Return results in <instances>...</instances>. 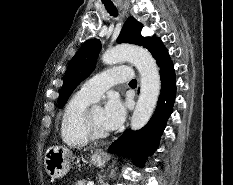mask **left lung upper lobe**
<instances>
[{
  "label": "left lung upper lobe",
  "mask_w": 233,
  "mask_h": 185,
  "mask_svg": "<svg viewBox=\"0 0 233 185\" xmlns=\"http://www.w3.org/2000/svg\"><path fill=\"white\" fill-rule=\"evenodd\" d=\"M142 27L143 25L141 23L133 17H129L117 38V42L144 46L151 51L160 39L155 36L152 38L143 37L141 35ZM100 49L101 43L98 39L88 40L80 47L71 59L60 91L58 100L59 108L63 107L77 85L93 71Z\"/></svg>",
  "instance_id": "left-lung-upper-lobe-1"
}]
</instances>
